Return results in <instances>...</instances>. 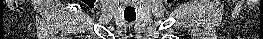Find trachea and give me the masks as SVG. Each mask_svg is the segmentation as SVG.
<instances>
[{
	"label": "trachea",
	"mask_w": 263,
	"mask_h": 39,
	"mask_svg": "<svg viewBox=\"0 0 263 39\" xmlns=\"http://www.w3.org/2000/svg\"><path fill=\"white\" fill-rule=\"evenodd\" d=\"M125 20H126L127 22H129V23H132V22H134V21L136 20V18H126V17H125Z\"/></svg>",
	"instance_id": "trachea-1"
}]
</instances>
